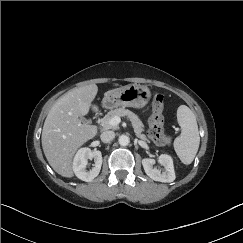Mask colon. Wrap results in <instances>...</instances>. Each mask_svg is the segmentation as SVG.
I'll return each mask as SVG.
<instances>
[{
    "label": "colon",
    "mask_w": 243,
    "mask_h": 243,
    "mask_svg": "<svg viewBox=\"0 0 243 243\" xmlns=\"http://www.w3.org/2000/svg\"><path fill=\"white\" fill-rule=\"evenodd\" d=\"M164 96L159 92L152 93V116L149 119V136L161 146L171 145L172 138L164 133L162 115Z\"/></svg>",
    "instance_id": "obj_1"
}]
</instances>
